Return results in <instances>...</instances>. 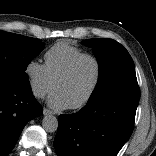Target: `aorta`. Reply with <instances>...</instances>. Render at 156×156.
<instances>
[{"mask_svg":"<svg viewBox=\"0 0 156 156\" xmlns=\"http://www.w3.org/2000/svg\"><path fill=\"white\" fill-rule=\"evenodd\" d=\"M42 126L47 132H55L58 128V120L53 115H46L42 120Z\"/></svg>","mask_w":156,"mask_h":156,"instance_id":"aorta-1","label":"aorta"}]
</instances>
